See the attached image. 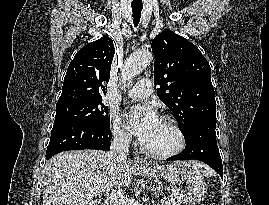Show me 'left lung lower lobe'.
Returning <instances> with one entry per match:
<instances>
[{
  "instance_id": "0a47b994",
  "label": "left lung lower lobe",
  "mask_w": 269,
  "mask_h": 205,
  "mask_svg": "<svg viewBox=\"0 0 269 205\" xmlns=\"http://www.w3.org/2000/svg\"><path fill=\"white\" fill-rule=\"evenodd\" d=\"M216 121L205 120L194 125L184 136L185 150L167 160H200L223 177L222 160L216 142Z\"/></svg>"
}]
</instances>
